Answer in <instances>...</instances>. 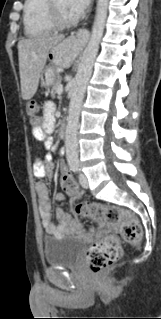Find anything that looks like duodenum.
I'll list each match as a JSON object with an SVG mask.
<instances>
[{
    "mask_svg": "<svg viewBox=\"0 0 161 319\" xmlns=\"http://www.w3.org/2000/svg\"><path fill=\"white\" fill-rule=\"evenodd\" d=\"M65 134H66V127L63 126V127L61 128V130H60V135H61V136H65Z\"/></svg>",
    "mask_w": 161,
    "mask_h": 319,
    "instance_id": "duodenum-1",
    "label": "duodenum"
}]
</instances>
